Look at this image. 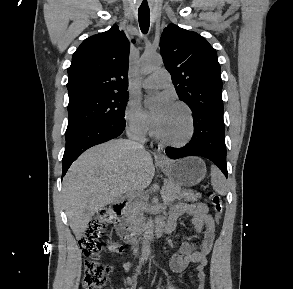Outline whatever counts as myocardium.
<instances>
[{
	"label": "myocardium",
	"mask_w": 293,
	"mask_h": 289,
	"mask_svg": "<svg viewBox=\"0 0 293 289\" xmlns=\"http://www.w3.org/2000/svg\"><path fill=\"white\" fill-rule=\"evenodd\" d=\"M173 105L181 107L182 109H184V111L187 114L188 131H187L186 135L181 140H177V141L168 140V139L161 137L157 133L155 126H153V128H152L151 134L158 142H160L163 145L175 147V148H181V147L188 145L191 142V140L193 139L194 134H195V120H194V116H193V112H192L191 108L186 103H184L182 101H175L173 103Z\"/></svg>",
	"instance_id": "myocardium-1"
}]
</instances>
